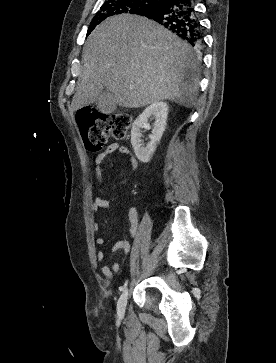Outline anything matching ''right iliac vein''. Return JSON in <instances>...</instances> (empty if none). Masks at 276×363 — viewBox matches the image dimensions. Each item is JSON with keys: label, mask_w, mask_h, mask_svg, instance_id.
<instances>
[{"label": "right iliac vein", "mask_w": 276, "mask_h": 363, "mask_svg": "<svg viewBox=\"0 0 276 363\" xmlns=\"http://www.w3.org/2000/svg\"><path fill=\"white\" fill-rule=\"evenodd\" d=\"M128 295H129V290H128V288H125L119 297V300L117 303V313L120 317H123L125 314Z\"/></svg>", "instance_id": "1"}]
</instances>
